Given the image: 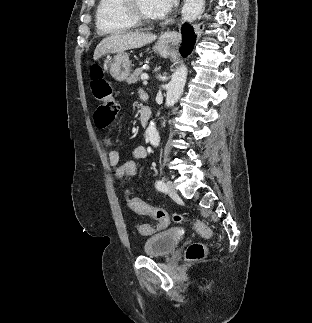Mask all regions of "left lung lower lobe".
Wrapping results in <instances>:
<instances>
[{
	"mask_svg": "<svg viewBox=\"0 0 312 323\" xmlns=\"http://www.w3.org/2000/svg\"><path fill=\"white\" fill-rule=\"evenodd\" d=\"M182 33V47L180 49V53L182 56H188L195 45L196 42V34L194 32V28L189 24H184L181 28Z\"/></svg>",
	"mask_w": 312,
	"mask_h": 323,
	"instance_id": "1",
	"label": "left lung lower lobe"
}]
</instances>
